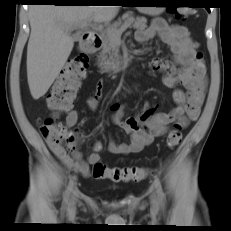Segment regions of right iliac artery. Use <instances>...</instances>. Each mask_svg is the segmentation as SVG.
Instances as JSON below:
<instances>
[{"mask_svg": "<svg viewBox=\"0 0 231 231\" xmlns=\"http://www.w3.org/2000/svg\"><path fill=\"white\" fill-rule=\"evenodd\" d=\"M72 188H73V180L69 183L68 188H67L66 193H65V197H64V204L65 205L68 203Z\"/></svg>", "mask_w": 231, "mask_h": 231, "instance_id": "1", "label": "right iliac artery"}]
</instances>
